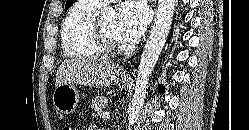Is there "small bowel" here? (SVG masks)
<instances>
[{"mask_svg": "<svg viewBox=\"0 0 249 130\" xmlns=\"http://www.w3.org/2000/svg\"><path fill=\"white\" fill-rule=\"evenodd\" d=\"M87 130H100V129H97L96 126L91 125Z\"/></svg>", "mask_w": 249, "mask_h": 130, "instance_id": "1", "label": "small bowel"}]
</instances>
